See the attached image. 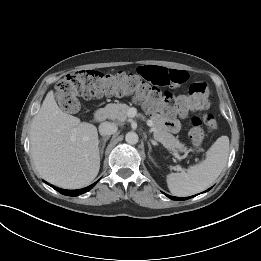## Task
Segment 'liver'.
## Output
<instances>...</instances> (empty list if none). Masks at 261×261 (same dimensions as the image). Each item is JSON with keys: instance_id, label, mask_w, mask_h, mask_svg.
Instances as JSON below:
<instances>
[{"instance_id": "6515ba94", "label": "liver", "mask_w": 261, "mask_h": 261, "mask_svg": "<svg viewBox=\"0 0 261 261\" xmlns=\"http://www.w3.org/2000/svg\"><path fill=\"white\" fill-rule=\"evenodd\" d=\"M31 158L48 182L66 189L89 185L100 169L96 126L66 112L49 91L30 129Z\"/></svg>"}]
</instances>
